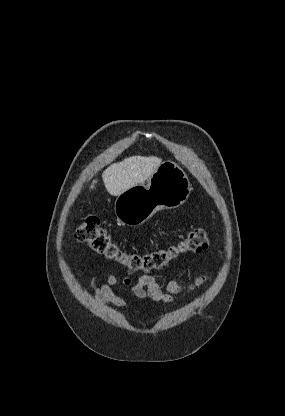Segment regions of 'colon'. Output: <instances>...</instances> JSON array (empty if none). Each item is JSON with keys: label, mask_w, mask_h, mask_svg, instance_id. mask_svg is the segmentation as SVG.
Wrapping results in <instances>:
<instances>
[{"label": "colon", "mask_w": 285, "mask_h": 416, "mask_svg": "<svg viewBox=\"0 0 285 416\" xmlns=\"http://www.w3.org/2000/svg\"><path fill=\"white\" fill-rule=\"evenodd\" d=\"M75 237L90 250L107 261L114 262L129 273L151 272L168 266L182 254L199 253L209 245L205 230L196 229L188 233L179 243L147 253L124 251L100 225L97 217H87L75 230Z\"/></svg>", "instance_id": "1"}]
</instances>
